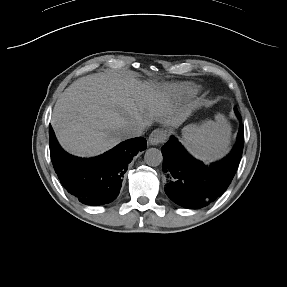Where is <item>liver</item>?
Here are the masks:
<instances>
[{
  "label": "liver",
  "instance_id": "1",
  "mask_svg": "<svg viewBox=\"0 0 287 287\" xmlns=\"http://www.w3.org/2000/svg\"><path fill=\"white\" fill-rule=\"evenodd\" d=\"M185 114L135 78L95 73L74 81L56 101L52 127L61 146L80 157L103 154L126 139L122 129L153 120L178 126Z\"/></svg>",
  "mask_w": 287,
  "mask_h": 287
}]
</instances>
